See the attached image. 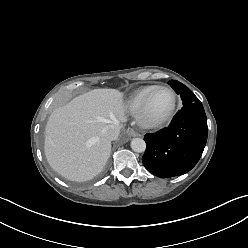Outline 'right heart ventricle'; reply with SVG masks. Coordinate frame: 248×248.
<instances>
[{
	"label": "right heart ventricle",
	"instance_id": "e07e8e85",
	"mask_svg": "<svg viewBox=\"0 0 248 248\" xmlns=\"http://www.w3.org/2000/svg\"><path fill=\"white\" fill-rule=\"evenodd\" d=\"M155 85L143 86L135 90L128 99L127 106L132 113L138 112L145 96Z\"/></svg>",
	"mask_w": 248,
	"mask_h": 248
}]
</instances>
